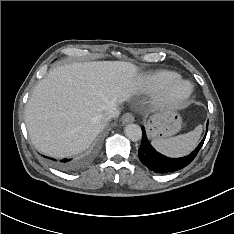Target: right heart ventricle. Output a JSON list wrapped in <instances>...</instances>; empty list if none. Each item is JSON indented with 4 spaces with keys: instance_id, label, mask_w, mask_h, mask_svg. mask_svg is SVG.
Listing matches in <instances>:
<instances>
[{
    "instance_id": "obj_1",
    "label": "right heart ventricle",
    "mask_w": 234,
    "mask_h": 234,
    "mask_svg": "<svg viewBox=\"0 0 234 234\" xmlns=\"http://www.w3.org/2000/svg\"><path fill=\"white\" fill-rule=\"evenodd\" d=\"M178 75L172 71L159 70L144 75L140 79V85L145 90H154L165 86L170 81L176 79Z\"/></svg>"
}]
</instances>
